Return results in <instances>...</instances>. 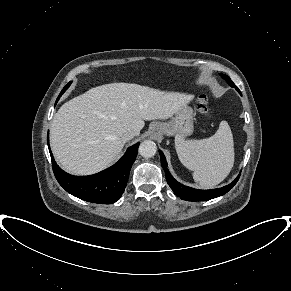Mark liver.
<instances>
[{
    "mask_svg": "<svg viewBox=\"0 0 291 291\" xmlns=\"http://www.w3.org/2000/svg\"><path fill=\"white\" fill-rule=\"evenodd\" d=\"M192 99V95L129 83L92 88L55 114L50 128L52 152L69 173H97L122 151L124 132L139 135L144 120L168 119Z\"/></svg>",
    "mask_w": 291,
    "mask_h": 291,
    "instance_id": "obj_1",
    "label": "liver"
}]
</instances>
